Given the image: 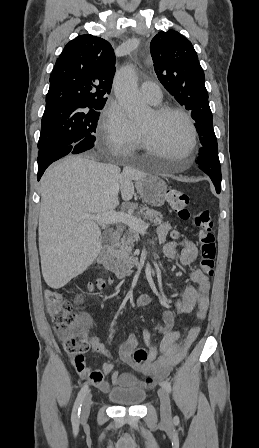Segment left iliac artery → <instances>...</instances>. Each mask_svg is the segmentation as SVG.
I'll list each match as a JSON object with an SVG mask.
<instances>
[{
    "mask_svg": "<svg viewBox=\"0 0 259 448\" xmlns=\"http://www.w3.org/2000/svg\"><path fill=\"white\" fill-rule=\"evenodd\" d=\"M161 385L167 392H169V393L171 392V390H172L171 389V384L168 381H163L161 383ZM174 421H175V423H178V421H179L178 417H175Z\"/></svg>",
    "mask_w": 259,
    "mask_h": 448,
    "instance_id": "obj_1",
    "label": "left iliac artery"
}]
</instances>
